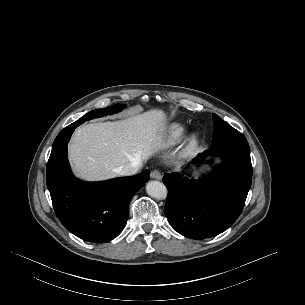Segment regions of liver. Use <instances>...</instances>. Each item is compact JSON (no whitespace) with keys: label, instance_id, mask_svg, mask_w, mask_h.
<instances>
[{"label":"liver","instance_id":"liver-1","mask_svg":"<svg viewBox=\"0 0 305 305\" xmlns=\"http://www.w3.org/2000/svg\"><path fill=\"white\" fill-rule=\"evenodd\" d=\"M166 113L154 109L115 122L77 128L68 147L76 176L87 181L116 177L114 169L146 161L164 148Z\"/></svg>","mask_w":305,"mask_h":305}]
</instances>
